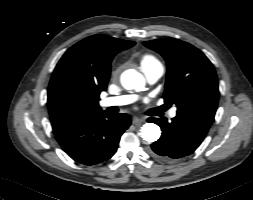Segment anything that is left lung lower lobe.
<instances>
[{"instance_id":"1","label":"left lung lower lobe","mask_w":253,"mask_h":200,"mask_svg":"<svg viewBox=\"0 0 253 200\" xmlns=\"http://www.w3.org/2000/svg\"><path fill=\"white\" fill-rule=\"evenodd\" d=\"M161 127L160 139L151 145L150 154L162 161H175L193 153L204 140L213 121L196 116L179 114L166 119L149 118Z\"/></svg>"}]
</instances>
